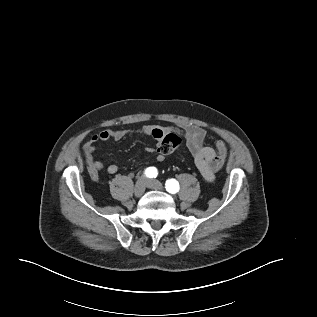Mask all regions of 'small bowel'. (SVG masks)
Masks as SVG:
<instances>
[{
    "label": "small bowel",
    "instance_id": "obj_1",
    "mask_svg": "<svg viewBox=\"0 0 317 317\" xmlns=\"http://www.w3.org/2000/svg\"><path fill=\"white\" fill-rule=\"evenodd\" d=\"M177 127L186 140V147L194 159L196 168L206 181L212 182L215 179L216 172L222 168L227 157L228 148L226 143L223 140H218L214 147H207L204 145L206 137L204 128L192 124H179ZM169 132L170 129L168 128L147 125L137 131L105 129L99 134L93 135L83 147L87 170L90 176L92 179L97 180L101 170L104 168L103 163L94 157L98 142L108 140L120 141L132 133L149 135L160 142ZM145 152L155 155L156 160L159 162L164 160L165 155L158 149L149 147L146 148ZM118 170L119 168L116 164H110L106 167V172L110 175L116 174Z\"/></svg>",
    "mask_w": 317,
    "mask_h": 317
}]
</instances>
